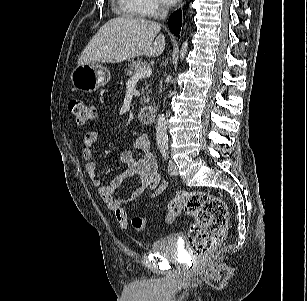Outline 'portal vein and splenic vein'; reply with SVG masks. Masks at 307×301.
Listing matches in <instances>:
<instances>
[{"label":"portal vein and splenic vein","instance_id":"1","mask_svg":"<svg viewBox=\"0 0 307 301\" xmlns=\"http://www.w3.org/2000/svg\"><path fill=\"white\" fill-rule=\"evenodd\" d=\"M152 74V69L150 67H143L138 69L135 74L131 77L133 80H138L144 77H149Z\"/></svg>","mask_w":307,"mask_h":301}]
</instances>
